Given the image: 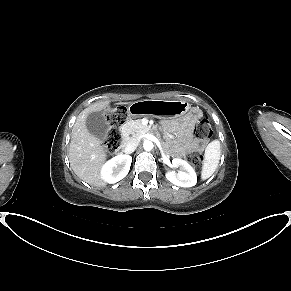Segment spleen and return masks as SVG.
Wrapping results in <instances>:
<instances>
[{
    "label": "spleen",
    "instance_id": "obj_1",
    "mask_svg": "<svg viewBox=\"0 0 291 291\" xmlns=\"http://www.w3.org/2000/svg\"><path fill=\"white\" fill-rule=\"evenodd\" d=\"M220 142L214 140L205 149V156L201 172L202 180L208 179L216 170L220 160Z\"/></svg>",
    "mask_w": 291,
    "mask_h": 291
}]
</instances>
